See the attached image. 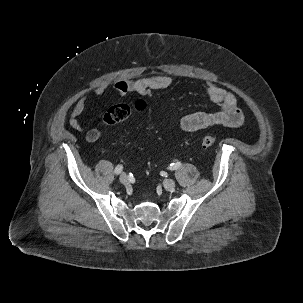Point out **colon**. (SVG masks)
<instances>
[{
	"instance_id": "1",
	"label": "colon",
	"mask_w": 303,
	"mask_h": 303,
	"mask_svg": "<svg viewBox=\"0 0 303 303\" xmlns=\"http://www.w3.org/2000/svg\"><path fill=\"white\" fill-rule=\"evenodd\" d=\"M147 107V104L144 100H137L133 107L127 104H118L110 107L103 116L102 122L105 126L110 127L119 122L126 120L132 113L135 111H143ZM218 137L216 134L205 135L201 138V145L203 148L207 149L212 147Z\"/></svg>"
}]
</instances>
